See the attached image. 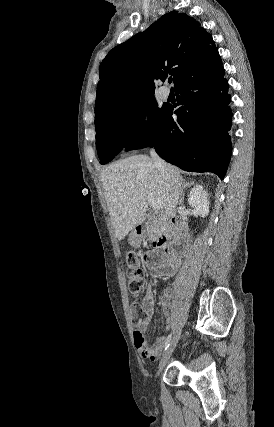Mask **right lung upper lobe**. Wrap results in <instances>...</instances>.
<instances>
[{"instance_id": "1", "label": "right lung upper lobe", "mask_w": 274, "mask_h": 427, "mask_svg": "<svg viewBox=\"0 0 274 427\" xmlns=\"http://www.w3.org/2000/svg\"><path fill=\"white\" fill-rule=\"evenodd\" d=\"M221 63L212 36L193 17L166 13L104 58L95 114L124 99L154 94L168 72L175 88L191 74Z\"/></svg>"}]
</instances>
